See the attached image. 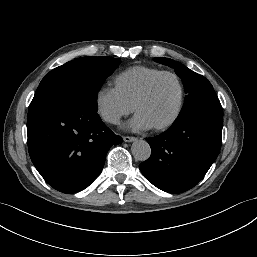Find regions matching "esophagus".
I'll use <instances>...</instances> for the list:
<instances>
[{"instance_id": "34e87169", "label": "esophagus", "mask_w": 257, "mask_h": 257, "mask_svg": "<svg viewBox=\"0 0 257 257\" xmlns=\"http://www.w3.org/2000/svg\"><path fill=\"white\" fill-rule=\"evenodd\" d=\"M123 140H124L125 142H133V141H136L137 138H136V137H133V136H124V137H123Z\"/></svg>"}]
</instances>
